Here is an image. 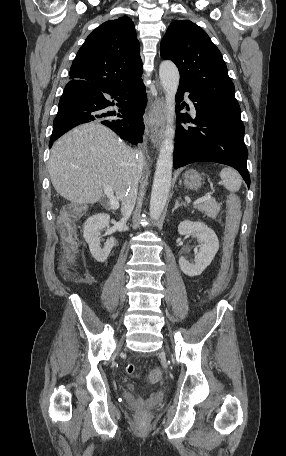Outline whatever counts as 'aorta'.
I'll return each mask as SVG.
<instances>
[{
    "label": "aorta",
    "instance_id": "1",
    "mask_svg": "<svg viewBox=\"0 0 286 456\" xmlns=\"http://www.w3.org/2000/svg\"><path fill=\"white\" fill-rule=\"evenodd\" d=\"M159 77L166 93V109L168 114L164 139L160 147L151 191L149 214L152 219H157L161 215L170 192L173 168V139L175 134L173 115L175 112V95L179 86L180 75L176 65L172 61L165 60L160 64Z\"/></svg>",
    "mask_w": 286,
    "mask_h": 456
}]
</instances>
